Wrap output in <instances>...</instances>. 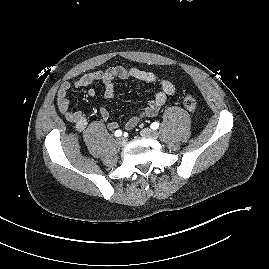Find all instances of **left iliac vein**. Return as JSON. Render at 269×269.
<instances>
[{
  "label": "left iliac vein",
  "instance_id": "left-iliac-vein-1",
  "mask_svg": "<svg viewBox=\"0 0 269 269\" xmlns=\"http://www.w3.org/2000/svg\"><path fill=\"white\" fill-rule=\"evenodd\" d=\"M142 137L150 138V139H157L158 138V132L155 130H152L150 128H144L140 132Z\"/></svg>",
  "mask_w": 269,
  "mask_h": 269
}]
</instances>
